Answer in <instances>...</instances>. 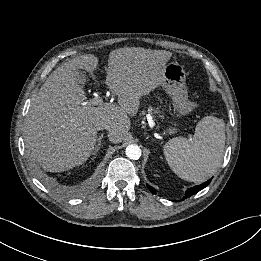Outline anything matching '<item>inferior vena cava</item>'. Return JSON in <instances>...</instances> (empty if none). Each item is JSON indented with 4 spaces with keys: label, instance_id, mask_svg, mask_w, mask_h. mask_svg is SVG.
<instances>
[{
    "label": "inferior vena cava",
    "instance_id": "inferior-vena-cava-1",
    "mask_svg": "<svg viewBox=\"0 0 261 261\" xmlns=\"http://www.w3.org/2000/svg\"><path fill=\"white\" fill-rule=\"evenodd\" d=\"M102 129H107L108 130V126L103 125L102 127L99 128V130H102Z\"/></svg>",
    "mask_w": 261,
    "mask_h": 261
}]
</instances>
